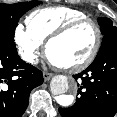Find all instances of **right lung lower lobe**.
<instances>
[{
	"label": "right lung lower lobe",
	"mask_w": 117,
	"mask_h": 117,
	"mask_svg": "<svg viewBox=\"0 0 117 117\" xmlns=\"http://www.w3.org/2000/svg\"><path fill=\"white\" fill-rule=\"evenodd\" d=\"M42 83V72L21 60L16 47L0 38V117H21L31 90Z\"/></svg>",
	"instance_id": "obj_1"
}]
</instances>
